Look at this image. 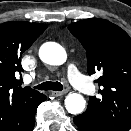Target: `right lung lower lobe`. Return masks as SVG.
I'll use <instances>...</instances> for the list:
<instances>
[{
	"label": "right lung lower lobe",
	"instance_id": "1",
	"mask_svg": "<svg viewBox=\"0 0 131 131\" xmlns=\"http://www.w3.org/2000/svg\"><path fill=\"white\" fill-rule=\"evenodd\" d=\"M46 100L41 95L30 101L12 106L0 104V131H32L35 125V113L40 103Z\"/></svg>",
	"mask_w": 131,
	"mask_h": 131
}]
</instances>
